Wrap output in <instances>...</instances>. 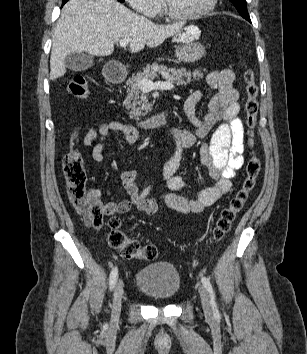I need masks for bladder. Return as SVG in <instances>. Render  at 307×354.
<instances>
[{"label": "bladder", "instance_id": "obj_1", "mask_svg": "<svg viewBox=\"0 0 307 354\" xmlns=\"http://www.w3.org/2000/svg\"><path fill=\"white\" fill-rule=\"evenodd\" d=\"M138 289L158 301L174 298L181 287V277L169 262H155L139 270L136 276Z\"/></svg>", "mask_w": 307, "mask_h": 354}]
</instances>
